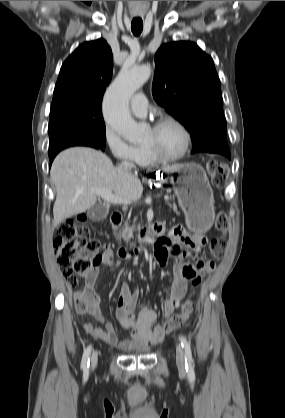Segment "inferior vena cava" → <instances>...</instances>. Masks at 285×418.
I'll list each match as a JSON object with an SVG mask.
<instances>
[{
	"label": "inferior vena cava",
	"mask_w": 285,
	"mask_h": 418,
	"mask_svg": "<svg viewBox=\"0 0 285 418\" xmlns=\"http://www.w3.org/2000/svg\"><path fill=\"white\" fill-rule=\"evenodd\" d=\"M121 166L130 175L132 174V170L134 168V165L133 164H131L130 162L124 161V162H122Z\"/></svg>",
	"instance_id": "602c4592"
}]
</instances>
